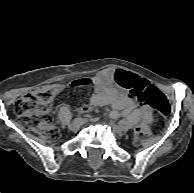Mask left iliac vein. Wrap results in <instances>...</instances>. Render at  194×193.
<instances>
[{
	"label": "left iliac vein",
	"mask_w": 194,
	"mask_h": 193,
	"mask_svg": "<svg viewBox=\"0 0 194 193\" xmlns=\"http://www.w3.org/2000/svg\"><path fill=\"white\" fill-rule=\"evenodd\" d=\"M113 132L116 134H122L125 131V128L120 125L111 124Z\"/></svg>",
	"instance_id": "1"
}]
</instances>
